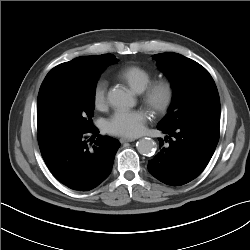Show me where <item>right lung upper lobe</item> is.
I'll list each match as a JSON object with an SVG mask.
<instances>
[{
    "mask_svg": "<svg viewBox=\"0 0 250 250\" xmlns=\"http://www.w3.org/2000/svg\"><path fill=\"white\" fill-rule=\"evenodd\" d=\"M113 56L112 54L82 56L54 67L46 75L40 87L37 104L48 98L63 83L82 79L108 66Z\"/></svg>",
    "mask_w": 250,
    "mask_h": 250,
    "instance_id": "right-lung-upper-lobe-1",
    "label": "right lung upper lobe"
}]
</instances>
